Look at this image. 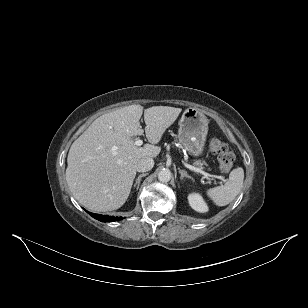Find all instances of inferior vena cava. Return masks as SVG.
Returning a JSON list of instances; mask_svg holds the SVG:
<instances>
[{"instance_id": "1", "label": "inferior vena cava", "mask_w": 308, "mask_h": 308, "mask_svg": "<svg viewBox=\"0 0 308 308\" xmlns=\"http://www.w3.org/2000/svg\"><path fill=\"white\" fill-rule=\"evenodd\" d=\"M154 166V160L150 157H144L140 159L137 164V171L138 172H147L151 170Z\"/></svg>"}]
</instances>
